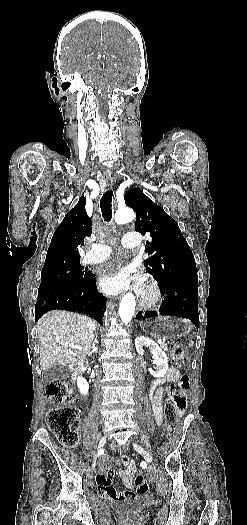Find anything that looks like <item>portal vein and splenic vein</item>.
Returning a JSON list of instances; mask_svg holds the SVG:
<instances>
[{
    "label": "portal vein and splenic vein",
    "mask_w": 247,
    "mask_h": 525,
    "mask_svg": "<svg viewBox=\"0 0 247 525\" xmlns=\"http://www.w3.org/2000/svg\"><path fill=\"white\" fill-rule=\"evenodd\" d=\"M158 343H162V340H158ZM64 346H67V348H72V349H79V351H82V347L81 345H74V343H64Z\"/></svg>",
    "instance_id": "1"
}]
</instances>
